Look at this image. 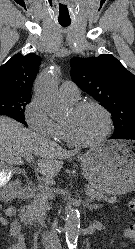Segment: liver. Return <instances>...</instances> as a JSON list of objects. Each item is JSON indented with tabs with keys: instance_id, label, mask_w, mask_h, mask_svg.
<instances>
[{
	"instance_id": "6515ba94",
	"label": "liver",
	"mask_w": 135,
	"mask_h": 249,
	"mask_svg": "<svg viewBox=\"0 0 135 249\" xmlns=\"http://www.w3.org/2000/svg\"><path fill=\"white\" fill-rule=\"evenodd\" d=\"M77 151H67L57 143L29 131L16 120L0 116V163L5 165L22 164V157H39L40 173L55 177L63 166V159L74 156ZM6 184L0 178V187Z\"/></svg>"
}]
</instances>
